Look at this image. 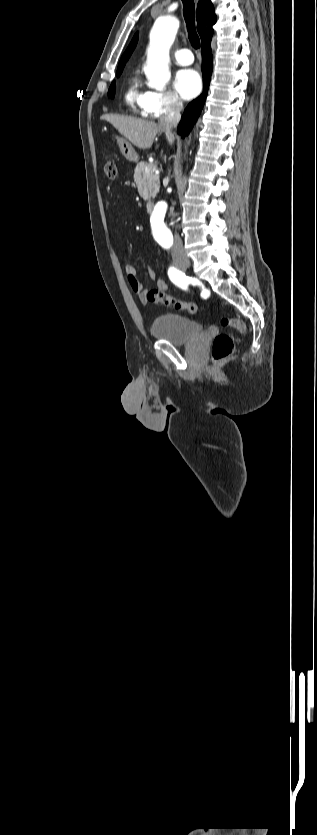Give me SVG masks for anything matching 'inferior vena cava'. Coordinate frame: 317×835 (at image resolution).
<instances>
[{
    "label": "inferior vena cava",
    "mask_w": 317,
    "mask_h": 835,
    "mask_svg": "<svg viewBox=\"0 0 317 835\" xmlns=\"http://www.w3.org/2000/svg\"><path fill=\"white\" fill-rule=\"evenodd\" d=\"M183 109L182 102L178 101L177 99L173 100L170 106L167 108L165 114H163L159 119V126L165 131L166 138L170 144L174 142V135L172 133V128H175L181 118L180 112ZM181 257H185V252L183 249V243L180 239L179 235L176 233L174 235V243L172 247V258L173 260H177Z\"/></svg>",
    "instance_id": "1"
}]
</instances>
